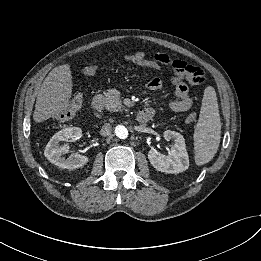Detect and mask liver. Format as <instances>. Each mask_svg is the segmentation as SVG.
I'll return each instance as SVG.
<instances>
[{"mask_svg": "<svg viewBox=\"0 0 261 261\" xmlns=\"http://www.w3.org/2000/svg\"><path fill=\"white\" fill-rule=\"evenodd\" d=\"M72 86L69 64L55 67L45 78L38 92L33 113L34 121L43 122L64 110L69 104Z\"/></svg>", "mask_w": 261, "mask_h": 261, "instance_id": "liver-1", "label": "liver"}]
</instances>
